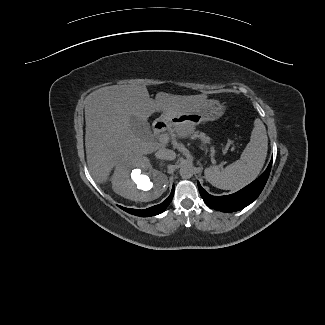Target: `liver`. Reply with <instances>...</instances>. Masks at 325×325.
I'll list each match as a JSON object with an SVG mask.
<instances>
[{"instance_id": "1", "label": "liver", "mask_w": 325, "mask_h": 325, "mask_svg": "<svg viewBox=\"0 0 325 325\" xmlns=\"http://www.w3.org/2000/svg\"><path fill=\"white\" fill-rule=\"evenodd\" d=\"M207 100V95L181 96L159 92L150 98L144 85H114L100 88L86 98L85 147L89 171L98 183H104L114 167L135 163L143 155L165 147L141 139L131 129V118L147 119L154 113H186ZM194 125H178L175 131L186 138Z\"/></svg>"}]
</instances>
